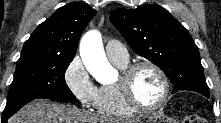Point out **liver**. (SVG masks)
<instances>
[{"label": "liver", "instance_id": "liver-1", "mask_svg": "<svg viewBox=\"0 0 221 123\" xmlns=\"http://www.w3.org/2000/svg\"><path fill=\"white\" fill-rule=\"evenodd\" d=\"M120 121L122 120L99 118L76 107L40 99L28 103L13 115L8 123H120Z\"/></svg>", "mask_w": 221, "mask_h": 123}]
</instances>
